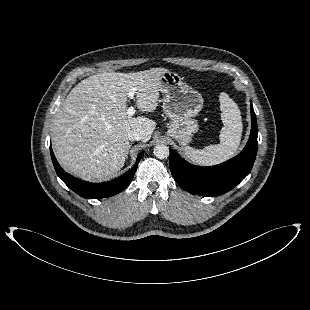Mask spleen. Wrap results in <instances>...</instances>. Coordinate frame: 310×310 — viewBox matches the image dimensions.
<instances>
[{"label": "spleen", "mask_w": 310, "mask_h": 310, "mask_svg": "<svg viewBox=\"0 0 310 310\" xmlns=\"http://www.w3.org/2000/svg\"><path fill=\"white\" fill-rule=\"evenodd\" d=\"M220 110L223 127L220 143L203 149L185 147L186 157L194 164L210 166L222 163L235 155L242 136V118L237 104L226 94H220Z\"/></svg>", "instance_id": "spleen-1"}]
</instances>
